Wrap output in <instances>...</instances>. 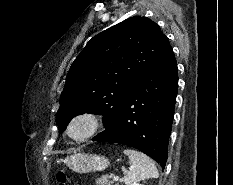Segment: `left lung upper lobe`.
<instances>
[{
	"label": "left lung upper lobe",
	"instance_id": "obj_1",
	"mask_svg": "<svg viewBox=\"0 0 233 185\" xmlns=\"http://www.w3.org/2000/svg\"><path fill=\"white\" fill-rule=\"evenodd\" d=\"M168 45L160 27L140 16L94 36L68 72L57 113L60 132L83 113L103 115L104 126H111L138 80Z\"/></svg>",
	"mask_w": 233,
	"mask_h": 185
}]
</instances>
